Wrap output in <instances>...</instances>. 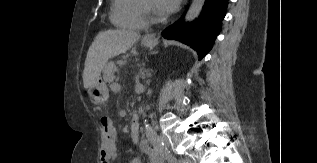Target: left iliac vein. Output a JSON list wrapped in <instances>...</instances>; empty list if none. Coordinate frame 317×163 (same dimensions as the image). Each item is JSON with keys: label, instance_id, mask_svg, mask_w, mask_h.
Returning <instances> with one entry per match:
<instances>
[{"label": "left iliac vein", "instance_id": "1", "mask_svg": "<svg viewBox=\"0 0 317 163\" xmlns=\"http://www.w3.org/2000/svg\"><path fill=\"white\" fill-rule=\"evenodd\" d=\"M184 163H193V162H192V160H190V159H186V160L184 161Z\"/></svg>", "mask_w": 317, "mask_h": 163}]
</instances>
